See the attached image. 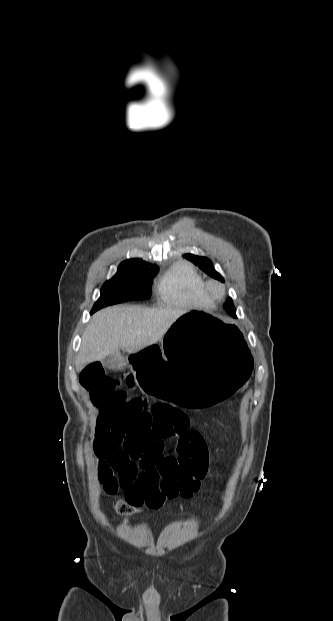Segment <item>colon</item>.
<instances>
[{"label": "colon", "instance_id": "5ec220e1", "mask_svg": "<svg viewBox=\"0 0 333 621\" xmlns=\"http://www.w3.org/2000/svg\"><path fill=\"white\" fill-rule=\"evenodd\" d=\"M136 474L137 467L133 462H127L124 469L118 471V475H115L113 469L107 466L99 468V479L103 483L104 489L110 494L116 493L119 487H128ZM115 508L124 514H132L137 511L123 501L117 502Z\"/></svg>", "mask_w": 333, "mask_h": 621}]
</instances>
